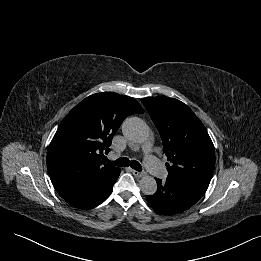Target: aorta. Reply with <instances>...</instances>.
<instances>
[{
  "label": "aorta",
  "mask_w": 261,
  "mask_h": 261,
  "mask_svg": "<svg viewBox=\"0 0 261 261\" xmlns=\"http://www.w3.org/2000/svg\"><path fill=\"white\" fill-rule=\"evenodd\" d=\"M122 132L128 140L134 143H143L149 136L147 125L137 117L126 119L122 125ZM139 187L145 195H153L157 191L156 180L149 175H145L140 179Z\"/></svg>",
  "instance_id": "1"
}]
</instances>
